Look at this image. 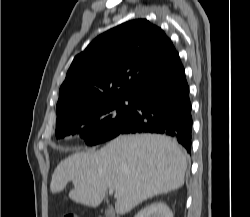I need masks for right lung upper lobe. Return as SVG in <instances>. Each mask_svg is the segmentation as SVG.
<instances>
[{
  "mask_svg": "<svg viewBox=\"0 0 250 217\" xmlns=\"http://www.w3.org/2000/svg\"><path fill=\"white\" fill-rule=\"evenodd\" d=\"M179 59L171 40L148 20L108 30L74 58L59 90L56 123L103 102L132 98Z\"/></svg>",
  "mask_w": 250,
  "mask_h": 217,
  "instance_id": "obj_1",
  "label": "right lung upper lobe"
}]
</instances>
